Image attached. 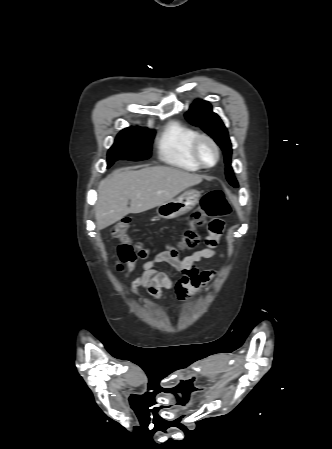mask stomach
<instances>
[{"instance_id": "1", "label": "stomach", "mask_w": 332, "mask_h": 449, "mask_svg": "<svg viewBox=\"0 0 332 449\" xmlns=\"http://www.w3.org/2000/svg\"><path fill=\"white\" fill-rule=\"evenodd\" d=\"M201 193L191 189L175 199H171L158 206L157 215L164 219H173L191 211L200 200Z\"/></svg>"}]
</instances>
